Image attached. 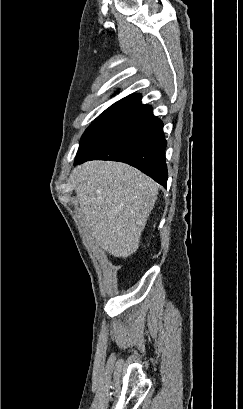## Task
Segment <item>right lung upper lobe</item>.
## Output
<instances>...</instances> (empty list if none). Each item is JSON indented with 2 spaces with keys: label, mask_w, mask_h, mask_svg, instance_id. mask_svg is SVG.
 I'll return each instance as SVG.
<instances>
[{
  "label": "right lung upper lobe",
  "mask_w": 243,
  "mask_h": 409,
  "mask_svg": "<svg viewBox=\"0 0 243 409\" xmlns=\"http://www.w3.org/2000/svg\"><path fill=\"white\" fill-rule=\"evenodd\" d=\"M134 95H136V94H131V95H129V96H127V97H125V98L121 99V100H120V101H118V102H123V101H125V100H127V99H129V98L133 97Z\"/></svg>",
  "instance_id": "cb5924a9"
}]
</instances>
